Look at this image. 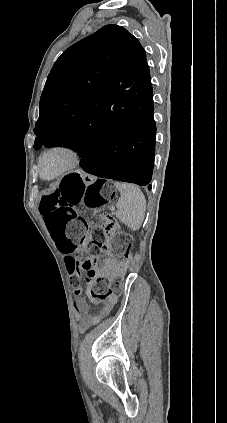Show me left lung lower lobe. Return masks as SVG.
I'll use <instances>...</instances> for the list:
<instances>
[{
  "mask_svg": "<svg viewBox=\"0 0 227 423\" xmlns=\"http://www.w3.org/2000/svg\"><path fill=\"white\" fill-rule=\"evenodd\" d=\"M153 98L140 113L112 111L84 137L77 136L55 146L73 149L81 156L80 165L87 173L151 189L155 154L156 125ZM53 146V147H55Z\"/></svg>",
  "mask_w": 227,
  "mask_h": 423,
  "instance_id": "obj_1",
  "label": "left lung lower lobe"
}]
</instances>
